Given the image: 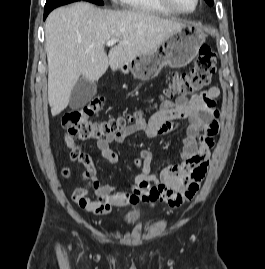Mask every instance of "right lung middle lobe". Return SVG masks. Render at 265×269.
<instances>
[{
  "mask_svg": "<svg viewBox=\"0 0 265 269\" xmlns=\"http://www.w3.org/2000/svg\"><path fill=\"white\" fill-rule=\"evenodd\" d=\"M83 1H87V2H90V3L97 4V5H104L103 0H83Z\"/></svg>",
  "mask_w": 265,
  "mask_h": 269,
  "instance_id": "dd1d6c3e",
  "label": "right lung middle lobe"
}]
</instances>
